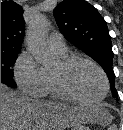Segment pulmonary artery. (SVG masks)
Masks as SVG:
<instances>
[{"label":"pulmonary artery","instance_id":"1","mask_svg":"<svg viewBox=\"0 0 123 130\" xmlns=\"http://www.w3.org/2000/svg\"><path fill=\"white\" fill-rule=\"evenodd\" d=\"M48 45L53 50L64 51L67 49L65 40L60 33L53 32L48 37Z\"/></svg>","mask_w":123,"mask_h":130}]
</instances>
